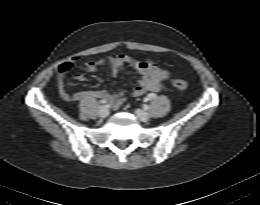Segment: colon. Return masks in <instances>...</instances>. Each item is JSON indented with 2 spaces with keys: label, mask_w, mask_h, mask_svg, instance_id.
<instances>
[{
  "label": "colon",
  "mask_w": 260,
  "mask_h": 205,
  "mask_svg": "<svg viewBox=\"0 0 260 205\" xmlns=\"http://www.w3.org/2000/svg\"><path fill=\"white\" fill-rule=\"evenodd\" d=\"M170 80L173 87H175L177 90L184 91L188 87L187 82L183 79L171 77Z\"/></svg>",
  "instance_id": "5ec220e1"
}]
</instances>
